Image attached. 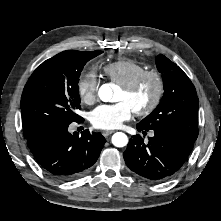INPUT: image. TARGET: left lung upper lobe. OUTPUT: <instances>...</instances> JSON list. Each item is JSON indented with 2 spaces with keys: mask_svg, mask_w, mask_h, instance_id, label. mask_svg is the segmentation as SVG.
I'll use <instances>...</instances> for the list:
<instances>
[{
  "mask_svg": "<svg viewBox=\"0 0 221 221\" xmlns=\"http://www.w3.org/2000/svg\"><path fill=\"white\" fill-rule=\"evenodd\" d=\"M156 66L163 74L164 95L159 105L138 124L146 130L173 132L195 142L198 136V97L188 76L159 54Z\"/></svg>",
  "mask_w": 221,
  "mask_h": 221,
  "instance_id": "1",
  "label": "left lung upper lobe"
}]
</instances>
